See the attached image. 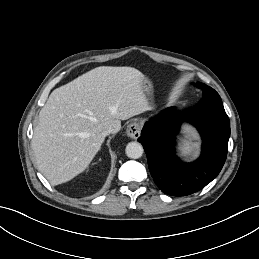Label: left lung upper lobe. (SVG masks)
I'll list each match as a JSON object with an SVG mask.
<instances>
[{
	"mask_svg": "<svg viewBox=\"0 0 259 259\" xmlns=\"http://www.w3.org/2000/svg\"><path fill=\"white\" fill-rule=\"evenodd\" d=\"M194 85H196L198 88H202L204 90H207V89L211 88V87H209V86H207V85H205L203 83H196Z\"/></svg>",
	"mask_w": 259,
	"mask_h": 259,
	"instance_id": "1",
	"label": "left lung upper lobe"
}]
</instances>
